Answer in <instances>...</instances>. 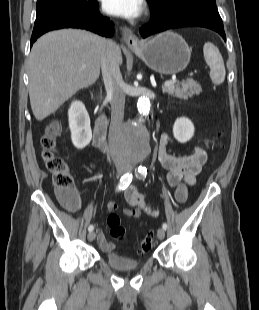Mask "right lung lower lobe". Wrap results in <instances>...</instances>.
<instances>
[{"instance_id":"obj_1","label":"right lung lower lobe","mask_w":259,"mask_h":310,"mask_svg":"<svg viewBox=\"0 0 259 310\" xmlns=\"http://www.w3.org/2000/svg\"><path fill=\"white\" fill-rule=\"evenodd\" d=\"M69 27L90 30L107 37H111L114 32V24L100 15L98 2L92 0L91 4L83 10L52 13L36 20L31 45L48 31Z\"/></svg>"}]
</instances>
